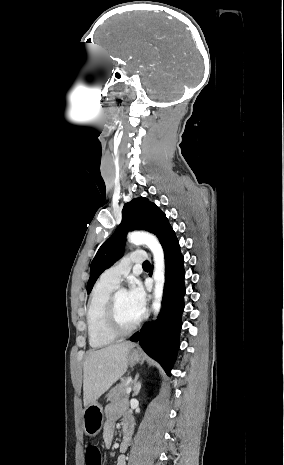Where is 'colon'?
<instances>
[{"instance_id":"5ec220e1","label":"colon","mask_w":284,"mask_h":465,"mask_svg":"<svg viewBox=\"0 0 284 465\" xmlns=\"http://www.w3.org/2000/svg\"><path fill=\"white\" fill-rule=\"evenodd\" d=\"M86 455L87 465H100L101 457L99 456V449L97 446H86L84 449Z\"/></svg>"}]
</instances>
